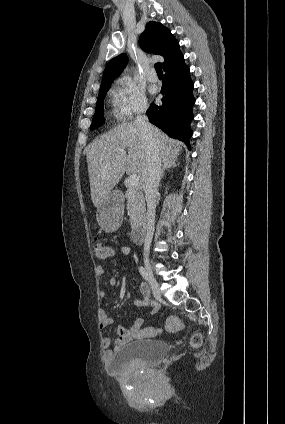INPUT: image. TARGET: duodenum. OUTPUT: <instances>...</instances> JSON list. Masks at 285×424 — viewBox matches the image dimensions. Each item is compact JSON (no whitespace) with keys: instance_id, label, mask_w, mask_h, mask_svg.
Segmentation results:
<instances>
[{"instance_id":"410a0bca","label":"duodenum","mask_w":285,"mask_h":424,"mask_svg":"<svg viewBox=\"0 0 285 424\" xmlns=\"http://www.w3.org/2000/svg\"><path fill=\"white\" fill-rule=\"evenodd\" d=\"M145 236H146V226L145 225L137 226L132 231V241L135 244H142L145 240Z\"/></svg>"}]
</instances>
